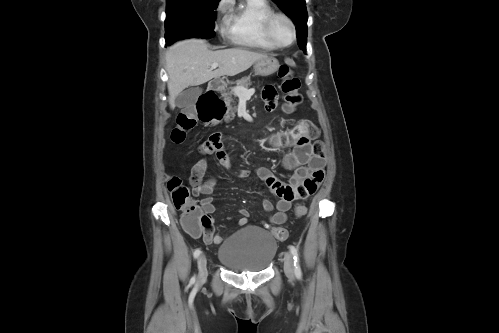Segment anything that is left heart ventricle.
I'll use <instances>...</instances> for the list:
<instances>
[{"mask_svg": "<svg viewBox=\"0 0 499 333\" xmlns=\"http://www.w3.org/2000/svg\"><path fill=\"white\" fill-rule=\"evenodd\" d=\"M273 32L281 43H288L291 38L290 27L283 19H277L273 26Z\"/></svg>", "mask_w": 499, "mask_h": 333, "instance_id": "b2bd125f", "label": "left heart ventricle"}]
</instances>
